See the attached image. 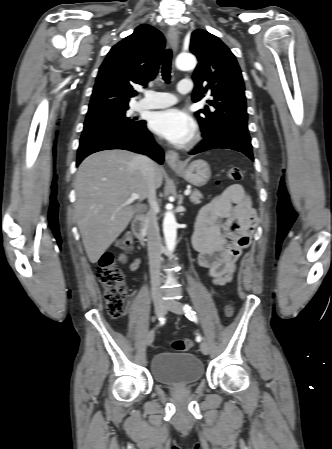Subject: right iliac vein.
Wrapping results in <instances>:
<instances>
[{"label":"right iliac vein","mask_w":332,"mask_h":449,"mask_svg":"<svg viewBox=\"0 0 332 449\" xmlns=\"http://www.w3.org/2000/svg\"><path fill=\"white\" fill-rule=\"evenodd\" d=\"M154 308H155L156 316L158 318L162 317L166 311L165 302L160 298L155 299ZM153 341H154V331L151 330L148 332V334L146 336V344L148 346H150L153 343Z\"/></svg>","instance_id":"63e3f726"}]
</instances>
